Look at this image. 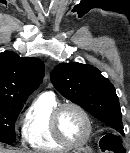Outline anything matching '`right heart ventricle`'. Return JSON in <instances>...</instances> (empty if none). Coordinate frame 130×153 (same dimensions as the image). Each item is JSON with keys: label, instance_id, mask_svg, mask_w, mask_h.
<instances>
[{"label": "right heart ventricle", "instance_id": "e07e8e85", "mask_svg": "<svg viewBox=\"0 0 130 153\" xmlns=\"http://www.w3.org/2000/svg\"><path fill=\"white\" fill-rule=\"evenodd\" d=\"M60 101L52 92H43L38 95L23 120L22 137L24 143L38 152H61L69 148L63 146L55 138L50 118L52 111Z\"/></svg>", "mask_w": 130, "mask_h": 153}]
</instances>
